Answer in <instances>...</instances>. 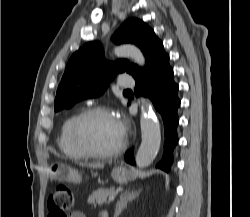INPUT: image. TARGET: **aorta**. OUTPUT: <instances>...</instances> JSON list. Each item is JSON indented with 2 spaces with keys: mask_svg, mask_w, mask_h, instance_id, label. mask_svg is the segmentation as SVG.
Returning a JSON list of instances; mask_svg holds the SVG:
<instances>
[{
  "mask_svg": "<svg viewBox=\"0 0 250 217\" xmlns=\"http://www.w3.org/2000/svg\"><path fill=\"white\" fill-rule=\"evenodd\" d=\"M114 53L119 57H129L139 66H144L145 58L139 48L134 45H122L115 48ZM141 145L137 151L135 161L140 168L148 167L157 155L161 143L159 122L150 104L142 106L140 118Z\"/></svg>",
  "mask_w": 250,
  "mask_h": 217,
  "instance_id": "762f6f07",
  "label": "aorta"
}]
</instances>
